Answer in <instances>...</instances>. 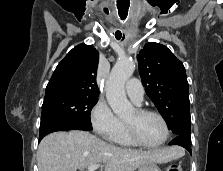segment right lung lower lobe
I'll use <instances>...</instances> for the list:
<instances>
[{"instance_id":"1","label":"right lung lower lobe","mask_w":223,"mask_h":171,"mask_svg":"<svg viewBox=\"0 0 223 171\" xmlns=\"http://www.w3.org/2000/svg\"><path fill=\"white\" fill-rule=\"evenodd\" d=\"M66 130H85L91 131L92 127H88L84 124L75 121H59L49 124L40 129L39 141L47 134L55 131H66Z\"/></svg>"}]
</instances>
